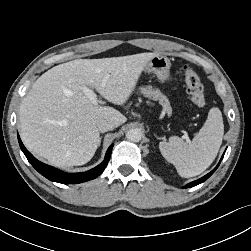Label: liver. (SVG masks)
Returning <instances> with one entry per match:
<instances>
[{"label": "liver", "instance_id": "obj_1", "mask_svg": "<svg viewBox=\"0 0 251 251\" xmlns=\"http://www.w3.org/2000/svg\"><path fill=\"white\" fill-rule=\"evenodd\" d=\"M156 55L148 52L76 59L46 71L20 105V135L24 145L56 167L89 162L100 142L97 121L106 119L118 127L127 119L112 107L92 104L82 89H96L109 102L123 105L147 63Z\"/></svg>", "mask_w": 251, "mask_h": 251}]
</instances>
